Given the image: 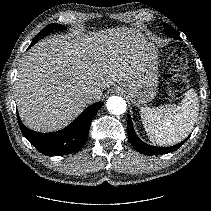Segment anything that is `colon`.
Here are the masks:
<instances>
[{"label": "colon", "instance_id": "colon-1", "mask_svg": "<svg viewBox=\"0 0 211 211\" xmlns=\"http://www.w3.org/2000/svg\"><path fill=\"white\" fill-rule=\"evenodd\" d=\"M186 56L180 49H174L170 54L165 75V83L173 96H181L188 87L189 76L186 73Z\"/></svg>", "mask_w": 211, "mask_h": 211}]
</instances>
